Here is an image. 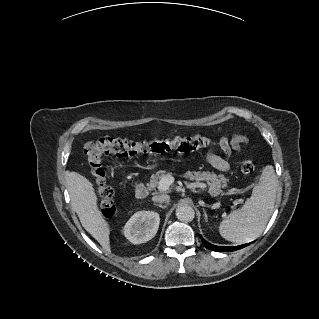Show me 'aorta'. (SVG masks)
I'll list each match as a JSON object with an SVG mask.
<instances>
[{"label":"aorta","instance_id":"762f6f07","mask_svg":"<svg viewBox=\"0 0 319 319\" xmlns=\"http://www.w3.org/2000/svg\"><path fill=\"white\" fill-rule=\"evenodd\" d=\"M176 217L182 222H191L195 217V211L189 205H179L176 209Z\"/></svg>","mask_w":319,"mask_h":319}]
</instances>
